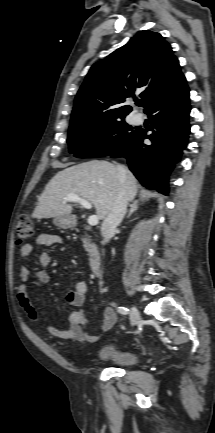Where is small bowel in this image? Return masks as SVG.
I'll return each mask as SVG.
<instances>
[{
	"label": "small bowel",
	"mask_w": 215,
	"mask_h": 433,
	"mask_svg": "<svg viewBox=\"0 0 215 433\" xmlns=\"http://www.w3.org/2000/svg\"><path fill=\"white\" fill-rule=\"evenodd\" d=\"M35 242L38 246L51 247L53 245L60 244L62 242V239L59 235L55 233L43 232L38 234ZM31 253L32 246L29 244L22 246L20 249V255L24 258L29 257ZM51 262L52 255L50 252L46 251L41 253L39 256V264L42 269L35 273L34 279H31L32 272L29 267L24 266L20 270L21 283L18 286V303L27 314V316L35 322L39 321V317L30 299L29 286L30 283H34L38 286L47 285L50 276L45 271V268L48 267ZM87 290V283L84 281H80L76 283L75 289L66 295V301L76 309L67 316L66 329H60L52 325H47V330L52 336L60 339L75 340L80 343H94L99 340V335L89 333V322L85 317L83 311L78 309L85 302ZM116 322L117 313L115 312V310L112 307H105L103 310V321L101 325V330H110L116 324Z\"/></svg>",
	"instance_id": "c3829d8e"
}]
</instances>
